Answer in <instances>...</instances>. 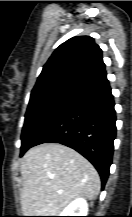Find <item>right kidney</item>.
Wrapping results in <instances>:
<instances>
[{"label":"right kidney","mask_w":132,"mask_h":217,"mask_svg":"<svg viewBox=\"0 0 132 217\" xmlns=\"http://www.w3.org/2000/svg\"><path fill=\"white\" fill-rule=\"evenodd\" d=\"M88 204L85 199L78 198L72 201L60 216H87Z\"/></svg>","instance_id":"ca27d5eb"}]
</instances>
